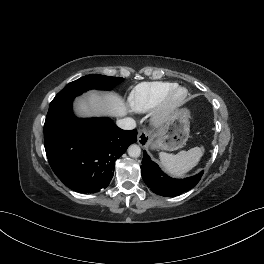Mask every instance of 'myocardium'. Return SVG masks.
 Returning a JSON list of instances; mask_svg holds the SVG:
<instances>
[{
  "label": "myocardium",
  "instance_id": "myocardium-1",
  "mask_svg": "<svg viewBox=\"0 0 264 264\" xmlns=\"http://www.w3.org/2000/svg\"><path fill=\"white\" fill-rule=\"evenodd\" d=\"M180 93L181 96H178ZM187 97L188 91L184 87L176 85L169 90L154 108V122L157 125H162L168 121L177 109L186 102Z\"/></svg>",
  "mask_w": 264,
  "mask_h": 264
}]
</instances>
